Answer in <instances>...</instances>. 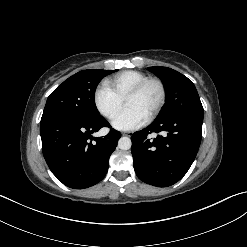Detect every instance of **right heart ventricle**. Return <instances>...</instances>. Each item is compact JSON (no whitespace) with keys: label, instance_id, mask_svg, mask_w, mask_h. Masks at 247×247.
Segmentation results:
<instances>
[{"label":"right heart ventricle","instance_id":"right-heart-ventricle-1","mask_svg":"<svg viewBox=\"0 0 247 247\" xmlns=\"http://www.w3.org/2000/svg\"><path fill=\"white\" fill-rule=\"evenodd\" d=\"M148 76L140 71L128 70L121 72L106 81V85L122 100L126 94Z\"/></svg>","mask_w":247,"mask_h":247}]
</instances>
